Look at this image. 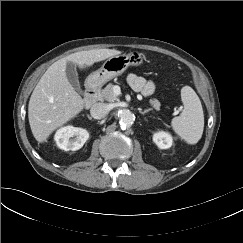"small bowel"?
<instances>
[{"mask_svg":"<svg viewBox=\"0 0 243 243\" xmlns=\"http://www.w3.org/2000/svg\"><path fill=\"white\" fill-rule=\"evenodd\" d=\"M127 81L135 91L141 92L145 96H149L154 92V84L150 81H146L143 77L129 74Z\"/></svg>","mask_w":243,"mask_h":243,"instance_id":"1","label":"small bowel"}]
</instances>
